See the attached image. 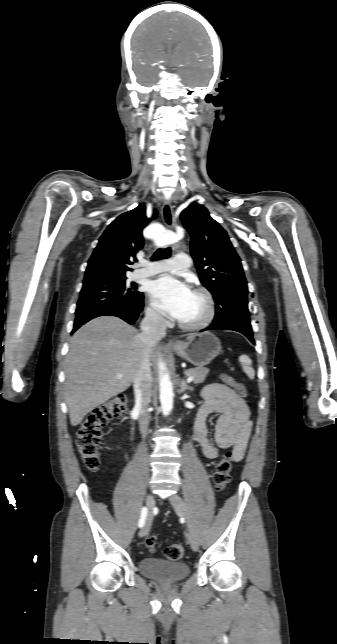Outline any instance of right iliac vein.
<instances>
[{"mask_svg": "<svg viewBox=\"0 0 337 644\" xmlns=\"http://www.w3.org/2000/svg\"><path fill=\"white\" fill-rule=\"evenodd\" d=\"M154 504H155L154 497L151 494L147 495V497H146V505H147V507H148V509L150 511L153 509ZM150 525H151V515L148 516L146 523L144 524V526L140 530V532H139L140 537H144L145 535L148 534L149 529H150Z\"/></svg>", "mask_w": 337, "mask_h": 644, "instance_id": "obj_1", "label": "right iliac vein"}]
</instances>
